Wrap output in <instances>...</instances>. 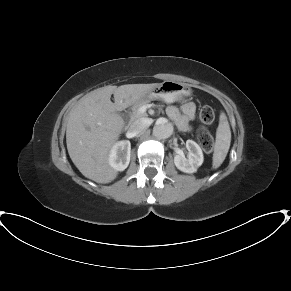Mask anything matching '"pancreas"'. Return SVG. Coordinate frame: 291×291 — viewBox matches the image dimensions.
Masks as SVG:
<instances>
[{"mask_svg":"<svg viewBox=\"0 0 291 291\" xmlns=\"http://www.w3.org/2000/svg\"><path fill=\"white\" fill-rule=\"evenodd\" d=\"M149 102H150V99H142V100L136 102V103L131 107V110H132V112H131V120H135V119H137V118H140V117H142V116H145L144 113H143V114L139 113V109H140V107L146 105V104L149 103Z\"/></svg>","mask_w":291,"mask_h":291,"instance_id":"pancreas-1","label":"pancreas"}]
</instances>
